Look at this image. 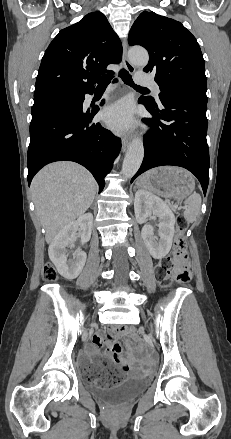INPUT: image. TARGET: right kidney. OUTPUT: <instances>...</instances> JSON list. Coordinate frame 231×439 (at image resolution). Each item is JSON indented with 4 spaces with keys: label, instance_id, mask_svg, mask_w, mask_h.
<instances>
[{
    "label": "right kidney",
    "instance_id": "1",
    "mask_svg": "<svg viewBox=\"0 0 231 439\" xmlns=\"http://www.w3.org/2000/svg\"><path fill=\"white\" fill-rule=\"evenodd\" d=\"M93 224V215L91 213L80 216L76 221L65 226L51 242L48 254L50 260L55 265L58 273L68 280H73L81 273L87 255L77 248L73 252V258L68 259V249L74 247L76 233L79 229L81 233V244L90 240Z\"/></svg>",
    "mask_w": 231,
    "mask_h": 439
}]
</instances>
